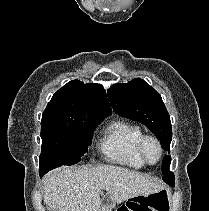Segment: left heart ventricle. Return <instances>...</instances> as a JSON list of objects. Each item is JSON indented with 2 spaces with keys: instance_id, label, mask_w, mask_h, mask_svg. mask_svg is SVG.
<instances>
[{
  "instance_id": "b2bd125f",
  "label": "left heart ventricle",
  "mask_w": 209,
  "mask_h": 211,
  "mask_svg": "<svg viewBox=\"0 0 209 211\" xmlns=\"http://www.w3.org/2000/svg\"><path fill=\"white\" fill-rule=\"evenodd\" d=\"M145 152L149 160L155 161L158 157L157 147L153 143H148L145 147Z\"/></svg>"
}]
</instances>
